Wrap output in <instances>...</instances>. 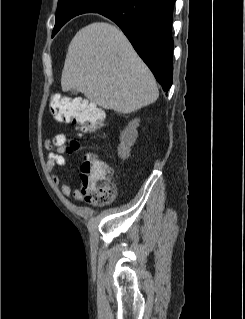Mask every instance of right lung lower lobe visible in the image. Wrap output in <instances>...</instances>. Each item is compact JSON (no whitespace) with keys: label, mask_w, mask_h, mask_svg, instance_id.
<instances>
[{"label":"right lung lower lobe","mask_w":245,"mask_h":319,"mask_svg":"<svg viewBox=\"0 0 245 319\" xmlns=\"http://www.w3.org/2000/svg\"><path fill=\"white\" fill-rule=\"evenodd\" d=\"M176 0H124L98 13L114 21L165 92L172 85L173 7Z\"/></svg>","instance_id":"98d812e1"}]
</instances>
